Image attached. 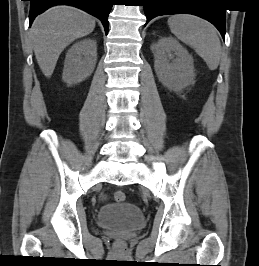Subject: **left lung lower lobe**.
<instances>
[{
  "instance_id": "1",
  "label": "left lung lower lobe",
  "mask_w": 259,
  "mask_h": 266,
  "mask_svg": "<svg viewBox=\"0 0 259 266\" xmlns=\"http://www.w3.org/2000/svg\"><path fill=\"white\" fill-rule=\"evenodd\" d=\"M213 2L212 0H143V6L147 22L159 15L193 14L210 21L225 38V9L212 7Z\"/></svg>"
}]
</instances>
